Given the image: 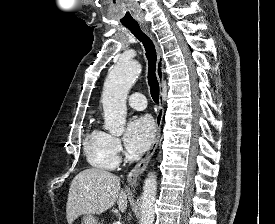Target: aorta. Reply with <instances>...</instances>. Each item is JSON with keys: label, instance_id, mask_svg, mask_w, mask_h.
I'll return each mask as SVG.
<instances>
[{"label": "aorta", "instance_id": "obj_1", "mask_svg": "<svg viewBox=\"0 0 275 224\" xmlns=\"http://www.w3.org/2000/svg\"><path fill=\"white\" fill-rule=\"evenodd\" d=\"M141 72V65L134 60H120L111 69L104 83L102 104L104 128L113 135H120L126 124V99ZM157 181L155 173L148 174L141 195L140 224H153Z\"/></svg>", "mask_w": 275, "mask_h": 224}]
</instances>
